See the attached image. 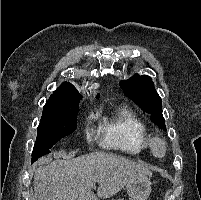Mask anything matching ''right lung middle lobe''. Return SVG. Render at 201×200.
<instances>
[{
    "label": "right lung middle lobe",
    "mask_w": 201,
    "mask_h": 200,
    "mask_svg": "<svg viewBox=\"0 0 201 200\" xmlns=\"http://www.w3.org/2000/svg\"><path fill=\"white\" fill-rule=\"evenodd\" d=\"M79 101H47L43 107L37 138L32 152L35 161L48 154V150L61 138L74 132L77 128Z\"/></svg>",
    "instance_id": "dd1d6c3e"
}]
</instances>
